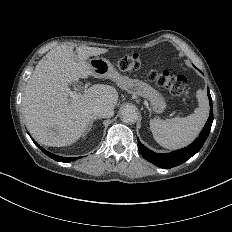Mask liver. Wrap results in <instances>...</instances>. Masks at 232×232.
<instances>
[{
	"label": "liver",
	"mask_w": 232,
	"mask_h": 232,
	"mask_svg": "<svg viewBox=\"0 0 232 232\" xmlns=\"http://www.w3.org/2000/svg\"><path fill=\"white\" fill-rule=\"evenodd\" d=\"M106 48L58 46L51 49L36 65L22 96V112L32 136L41 144L68 147L77 143L95 119L94 108H115L117 90L95 84L79 96H70L69 84L98 77L90 64L92 56L107 53Z\"/></svg>",
	"instance_id": "obj_1"
}]
</instances>
